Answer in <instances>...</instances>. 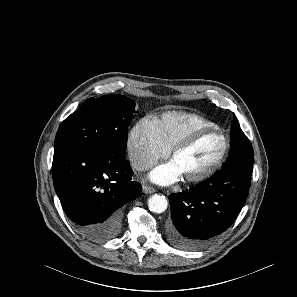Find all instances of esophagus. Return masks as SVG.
Masks as SVG:
<instances>
[{"instance_id": "esophagus-1", "label": "esophagus", "mask_w": 297, "mask_h": 297, "mask_svg": "<svg viewBox=\"0 0 297 297\" xmlns=\"http://www.w3.org/2000/svg\"><path fill=\"white\" fill-rule=\"evenodd\" d=\"M142 192L145 194H151L155 192V189L152 188L151 186H143L142 187Z\"/></svg>"}]
</instances>
